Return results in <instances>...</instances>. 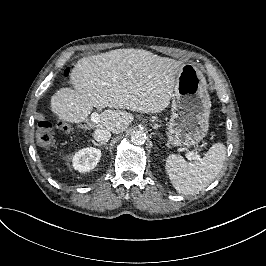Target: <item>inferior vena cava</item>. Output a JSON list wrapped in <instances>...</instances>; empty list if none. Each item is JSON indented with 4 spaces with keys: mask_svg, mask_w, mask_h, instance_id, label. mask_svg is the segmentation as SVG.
Returning a JSON list of instances; mask_svg holds the SVG:
<instances>
[{
    "mask_svg": "<svg viewBox=\"0 0 266 266\" xmlns=\"http://www.w3.org/2000/svg\"><path fill=\"white\" fill-rule=\"evenodd\" d=\"M93 138L98 142L105 143L111 138V133L106 129H98L94 131Z\"/></svg>",
    "mask_w": 266,
    "mask_h": 266,
    "instance_id": "602c4592",
    "label": "inferior vena cava"
}]
</instances>
